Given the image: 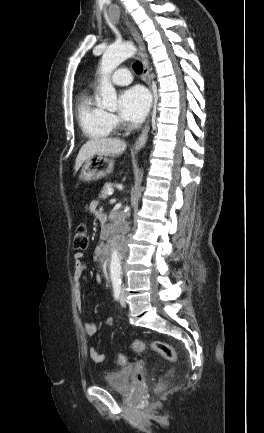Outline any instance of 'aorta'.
Wrapping results in <instances>:
<instances>
[{
    "label": "aorta",
    "instance_id": "obj_1",
    "mask_svg": "<svg viewBox=\"0 0 264 433\" xmlns=\"http://www.w3.org/2000/svg\"><path fill=\"white\" fill-rule=\"evenodd\" d=\"M136 48L131 43H123L119 45H111L104 52L101 59V86L100 95L102 97L101 104L105 108H115L117 106V94L115 88L109 81V76L125 59L133 56ZM121 225L120 230H122ZM121 269V250L118 240L111 246V261H110V277L120 278Z\"/></svg>",
    "mask_w": 264,
    "mask_h": 433
}]
</instances>
